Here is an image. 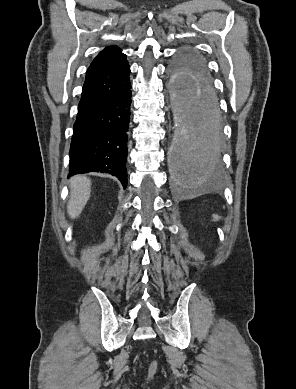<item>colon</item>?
I'll return each mask as SVG.
<instances>
[{
  "instance_id": "5ec220e1",
  "label": "colon",
  "mask_w": 296,
  "mask_h": 389,
  "mask_svg": "<svg viewBox=\"0 0 296 389\" xmlns=\"http://www.w3.org/2000/svg\"><path fill=\"white\" fill-rule=\"evenodd\" d=\"M157 369V363L155 361H152L149 366V373L152 375L155 373Z\"/></svg>"
}]
</instances>
